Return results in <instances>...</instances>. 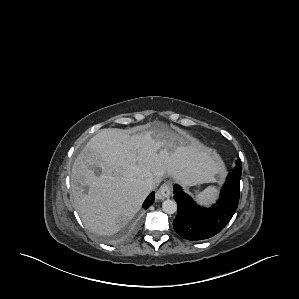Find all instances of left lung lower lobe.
Wrapping results in <instances>:
<instances>
[{"mask_svg": "<svg viewBox=\"0 0 299 299\" xmlns=\"http://www.w3.org/2000/svg\"><path fill=\"white\" fill-rule=\"evenodd\" d=\"M241 173L232 171L223 185L220 198L211 208L198 206L179 185H174L178 214L173 221L175 231L187 240L197 241L219 233L234 215L240 196Z\"/></svg>", "mask_w": 299, "mask_h": 299, "instance_id": "0a47b994", "label": "left lung lower lobe"}]
</instances>
